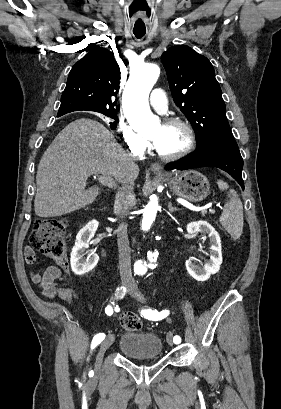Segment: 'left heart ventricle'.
Returning <instances> with one entry per match:
<instances>
[{
	"instance_id": "1",
	"label": "left heart ventricle",
	"mask_w": 281,
	"mask_h": 409,
	"mask_svg": "<svg viewBox=\"0 0 281 409\" xmlns=\"http://www.w3.org/2000/svg\"><path fill=\"white\" fill-rule=\"evenodd\" d=\"M147 140L160 152L171 154L186 144V133L179 125H156L146 136Z\"/></svg>"
}]
</instances>
